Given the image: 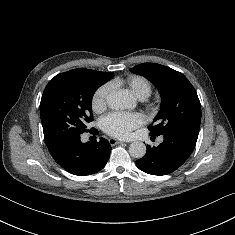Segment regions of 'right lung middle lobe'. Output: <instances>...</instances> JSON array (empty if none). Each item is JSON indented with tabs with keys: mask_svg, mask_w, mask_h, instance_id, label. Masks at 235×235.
I'll return each mask as SVG.
<instances>
[{
	"mask_svg": "<svg viewBox=\"0 0 235 235\" xmlns=\"http://www.w3.org/2000/svg\"><path fill=\"white\" fill-rule=\"evenodd\" d=\"M88 69L58 74L47 84L40 103V115L47 147L71 133L88 132L93 120L92 97L111 79Z\"/></svg>",
	"mask_w": 235,
	"mask_h": 235,
	"instance_id": "obj_1",
	"label": "right lung middle lobe"
}]
</instances>
